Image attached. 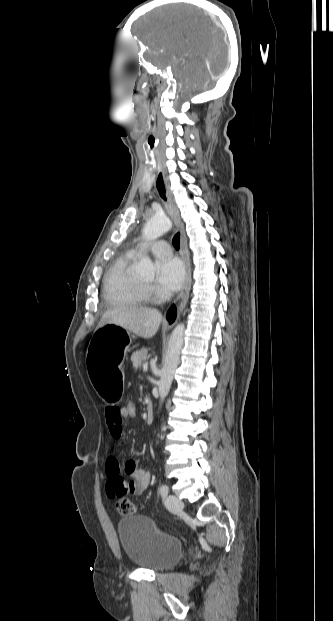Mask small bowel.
I'll return each instance as SVG.
<instances>
[{
    "label": "small bowel",
    "mask_w": 333,
    "mask_h": 621,
    "mask_svg": "<svg viewBox=\"0 0 333 621\" xmlns=\"http://www.w3.org/2000/svg\"><path fill=\"white\" fill-rule=\"evenodd\" d=\"M124 420L120 406L110 405L105 410V421L110 436L114 439L123 438L122 423ZM107 483L106 492L109 498H123L127 495L142 494L150 482V474L138 465L135 459H129L121 466L115 457H108L106 460ZM122 473L127 474L130 479L122 478Z\"/></svg>",
    "instance_id": "obj_1"
}]
</instances>
